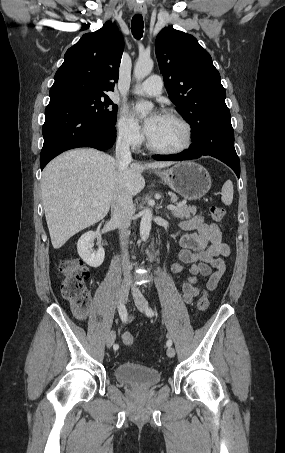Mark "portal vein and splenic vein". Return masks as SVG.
I'll return each instance as SVG.
<instances>
[{"mask_svg": "<svg viewBox=\"0 0 285 453\" xmlns=\"http://www.w3.org/2000/svg\"><path fill=\"white\" fill-rule=\"evenodd\" d=\"M167 209L174 210V209H176V206L170 204V205L167 206Z\"/></svg>", "mask_w": 285, "mask_h": 453, "instance_id": "18ae733b", "label": "portal vein and splenic vein"}]
</instances>
